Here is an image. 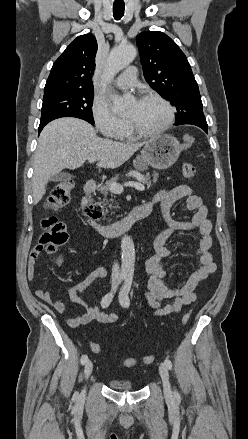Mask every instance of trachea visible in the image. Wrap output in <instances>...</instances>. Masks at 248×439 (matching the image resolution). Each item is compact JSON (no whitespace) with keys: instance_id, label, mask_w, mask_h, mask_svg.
I'll use <instances>...</instances> for the list:
<instances>
[{"instance_id":"3493384b","label":"trachea","mask_w":248,"mask_h":439,"mask_svg":"<svg viewBox=\"0 0 248 439\" xmlns=\"http://www.w3.org/2000/svg\"><path fill=\"white\" fill-rule=\"evenodd\" d=\"M124 5H113V16L116 20H120L124 15Z\"/></svg>"}]
</instances>
